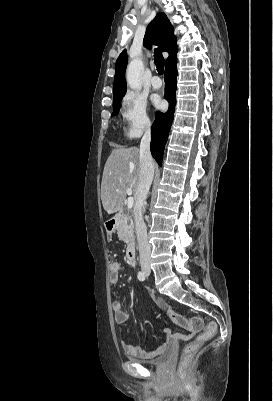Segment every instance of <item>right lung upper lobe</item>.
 <instances>
[{
	"label": "right lung upper lobe",
	"instance_id": "cb5924a9",
	"mask_svg": "<svg viewBox=\"0 0 273 401\" xmlns=\"http://www.w3.org/2000/svg\"><path fill=\"white\" fill-rule=\"evenodd\" d=\"M174 29L165 13H158L155 19L148 25L144 37V46L151 48V44H157L162 51L168 52L166 65L177 61L176 54L178 47ZM128 62L126 50L119 55L116 61V71L113 86V108L120 106V102L126 93L125 70Z\"/></svg>",
	"mask_w": 273,
	"mask_h": 401
}]
</instances>
